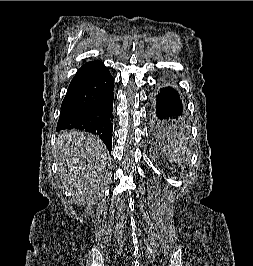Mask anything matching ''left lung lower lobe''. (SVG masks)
<instances>
[{
  "label": "left lung lower lobe",
  "mask_w": 253,
  "mask_h": 266,
  "mask_svg": "<svg viewBox=\"0 0 253 266\" xmlns=\"http://www.w3.org/2000/svg\"><path fill=\"white\" fill-rule=\"evenodd\" d=\"M183 114L178 93L171 87L161 89L156 96V108L151 118L156 130L162 133L175 130Z\"/></svg>",
  "instance_id": "0a47b994"
}]
</instances>
